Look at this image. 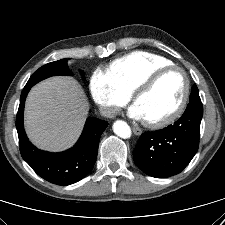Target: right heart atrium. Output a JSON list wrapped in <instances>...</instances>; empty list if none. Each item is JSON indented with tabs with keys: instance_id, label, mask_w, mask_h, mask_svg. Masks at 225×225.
I'll return each mask as SVG.
<instances>
[{
	"instance_id": "1",
	"label": "right heart atrium",
	"mask_w": 225,
	"mask_h": 225,
	"mask_svg": "<svg viewBox=\"0 0 225 225\" xmlns=\"http://www.w3.org/2000/svg\"><path fill=\"white\" fill-rule=\"evenodd\" d=\"M90 91L94 101L109 117L116 115L130 99V95L119 87L111 75L102 70H96L92 74Z\"/></svg>"
}]
</instances>
